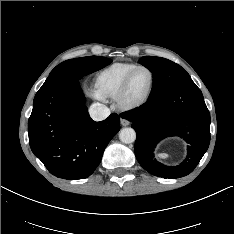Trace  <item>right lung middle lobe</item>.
<instances>
[{"instance_id":"right-lung-middle-lobe-1","label":"right lung middle lobe","mask_w":234,"mask_h":234,"mask_svg":"<svg viewBox=\"0 0 234 234\" xmlns=\"http://www.w3.org/2000/svg\"><path fill=\"white\" fill-rule=\"evenodd\" d=\"M111 62V59L99 56L70 59L57 65L50 75L61 71H70L77 79H81L84 75L100 70Z\"/></svg>"}]
</instances>
